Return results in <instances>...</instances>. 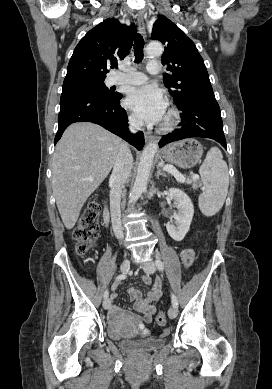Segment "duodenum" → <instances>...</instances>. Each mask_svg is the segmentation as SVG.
<instances>
[{"mask_svg": "<svg viewBox=\"0 0 272 389\" xmlns=\"http://www.w3.org/2000/svg\"><path fill=\"white\" fill-rule=\"evenodd\" d=\"M103 217H104V222L107 225L109 223V219H110V214H109L108 208H105Z\"/></svg>", "mask_w": 272, "mask_h": 389, "instance_id": "duodenum-1", "label": "duodenum"}]
</instances>
